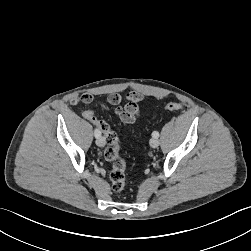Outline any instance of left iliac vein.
<instances>
[{
	"label": "left iliac vein",
	"mask_w": 251,
	"mask_h": 251,
	"mask_svg": "<svg viewBox=\"0 0 251 251\" xmlns=\"http://www.w3.org/2000/svg\"><path fill=\"white\" fill-rule=\"evenodd\" d=\"M160 144L158 138H155L153 137L151 140H150V146L153 147V148H156L158 147Z\"/></svg>",
	"instance_id": "4c4485c4"
}]
</instances>
